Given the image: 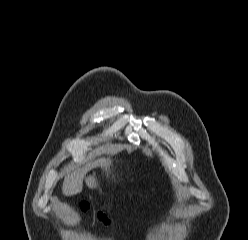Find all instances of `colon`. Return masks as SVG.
<instances>
[{
	"label": "colon",
	"mask_w": 248,
	"mask_h": 240,
	"mask_svg": "<svg viewBox=\"0 0 248 240\" xmlns=\"http://www.w3.org/2000/svg\"><path fill=\"white\" fill-rule=\"evenodd\" d=\"M89 208H90V205H89L88 203H82V204H81V209H82L83 211H87ZM98 217H99V219H100L104 224H109L110 221H109L108 217H107L104 213L99 212V213H98Z\"/></svg>",
	"instance_id": "5ec220e1"
}]
</instances>
